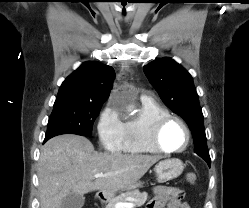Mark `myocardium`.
<instances>
[{"label": "myocardium", "instance_id": "f54148a6", "mask_svg": "<svg viewBox=\"0 0 249 208\" xmlns=\"http://www.w3.org/2000/svg\"><path fill=\"white\" fill-rule=\"evenodd\" d=\"M172 121L178 122L185 130L186 133V141L184 145L179 149H166L161 144V133L166 125ZM149 144L150 146L157 152V153H166V154H176L185 151L190 142H191V131L187 123L180 117L175 115H164L160 117L152 126L149 137Z\"/></svg>", "mask_w": 249, "mask_h": 208}]
</instances>
